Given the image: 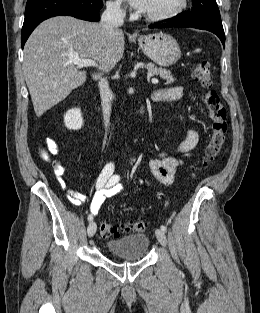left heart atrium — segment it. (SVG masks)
I'll list each match as a JSON object with an SVG mask.
<instances>
[{
    "mask_svg": "<svg viewBox=\"0 0 260 313\" xmlns=\"http://www.w3.org/2000/svg\"><path fill=\"white\" fill-rule=\"evenodd\" d=\"M127 1L135 9L144 11L148 0H127Z\"/></svg>",
    "mask_w": 260,
    "mask_h": 313,
    "instance_id": "39dd6f15",
    "label": "left heart atrium"
}]
</instances>
